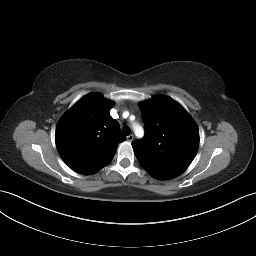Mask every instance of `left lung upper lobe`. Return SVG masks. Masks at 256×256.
Returning a JSON list of instances; mask_svg holds the SVG:
<instances>
[{"label":"left lung upper lobe","instance_id":"5c2ea615","mask_svg":"<svg viewBox=\"0 0 256 256\" xmlns=\"http://www.w3.org/2000/svg\"><path fill=\"white\" fill-rule=\"evenodd\" d=\"M145 136L132 143L141 166L154 178L167 180L183 173L199 146L191 116L173 99L156 96L139 104Z\"/></svg>","mask_w":256,"mask_h":256}]
</instances>
